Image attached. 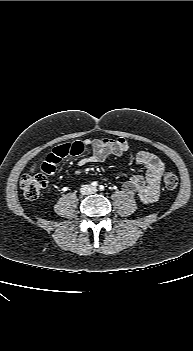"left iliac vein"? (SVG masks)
Listing matches in <instances>:
<instances>
[{"mask_svg":"<svg viewBox=\"0 0 193 351\" xmlns=\"http://www.w3.org/2000/svg\"><path fill=\"white\" fill-rule=\"evenodd\" d=\"M91 192L95 193V192H97V189L96 188H92Z\"/></svg>","mask_w":193,"mask_h":351,"instance_id":"4c4485c4","label":"left iliac vein"}]
</instances>
